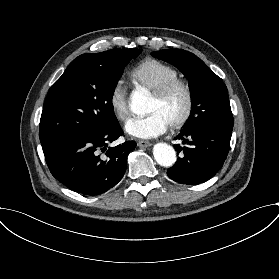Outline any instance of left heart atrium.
Masks as SVG:
<instances>
[{
    "instance_id": "left-heart-atrium-1",
    "label": "left heart atrium",
    "mask_w": 279,
    "mask_h": 279,
    "mask_svg": "<svg viewBox=\"0 0 279 279\" xmlns=\"http://www.w3.org/2000/svg\"><path fill=\"white\" fill-rule=\"evenodd\" d=\"M170 124L158 110L145 117L130 119L125 125V131L132 137L150 140L163 135Z\"/></svg>"
}]
</instances>
